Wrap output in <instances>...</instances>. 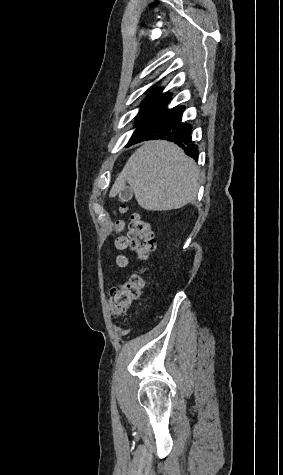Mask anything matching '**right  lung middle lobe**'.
<instances>
[{"instance_id": "1", "label": "right lung middle lobe", "mask_w": 283, "mask_h": 475, "mask_svg": "<svg viewBox=\"0 0 283 475\" xmlns=\"http://www.w3.org/2000/svg\"><path fill=\"white\" fill-rule=\"evenodd\" d=\"M171 98L169 93H161L157 91L145 99L141 105V109L136 119V126H139L147 117L153 114L159 107Z\"/></svg>"}]
</instances>
